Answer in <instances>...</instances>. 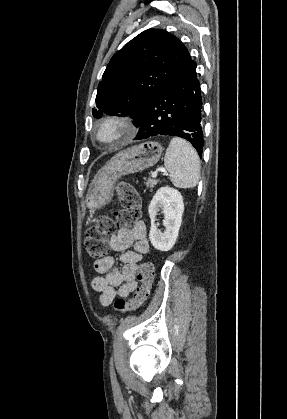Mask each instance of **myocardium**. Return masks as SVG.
I'll list each match as a JSON object with an SVG mask.
<instances>
[{
  "label": "myocardium",
  "instance_id": "f54148a6",
  "mask_svg": "<svg viewBox=\"0 0 287 419\" xmlns=\"http://www.w3.org/2000/svg\"><path fill=\"white\" fill-rule=\"evenodd\" d=\"M105 128L114 129L117 133L109 140H102L100 132ZM135 133L136 128L129 118L123 116H107L96 124L93 137L102 146H114L132 138Z\"/></svg>",
  "mask_w": 287,
  "mask_h": 419
}]
</instances>
